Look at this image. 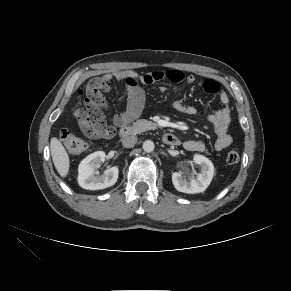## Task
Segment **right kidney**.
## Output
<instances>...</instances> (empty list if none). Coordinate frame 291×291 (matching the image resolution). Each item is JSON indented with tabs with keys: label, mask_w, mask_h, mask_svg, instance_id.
Returning a JSON list of instances; mask_svg holds the SVG:
<instances>
[{
	"label": "right kidney",
	"mask_w": 291,
	"mask_h": 291,
	"mask_svg": "<svg viewBox=\"0 0 291 291\" xmlns=\"http://www.w3.org/2000/svg\"><path fill=\"white\" fill-rule=\"evenodd\" d=\"M105 153L97 151L88 155L78 167V183L87 190H100L113 186L118 179V167L107 169L103 175L95 172V166L104 162Z\"/></svg>",
	"instance_id": "ca27d5eb"
}]
</instances>
